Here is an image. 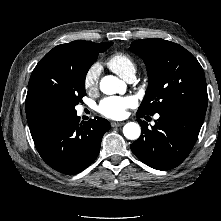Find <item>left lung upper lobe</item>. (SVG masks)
Wrapping results in <instances>:
<instances>
[{"label":"left lung upper lobe","mask_w":221,"mask_h":221,"mask_svg":"<svg viewBox=\"0 0 221 221\" xmlns=\"http://www.w3.org/2000/svg\"><path fill=\"white\" fill-rule=\"evenodd\" d=\"M129 50L144 60L148 71L149 85L138 113L154 115L176 106L206 110L204 72L189 51L159 38L136 40Z\"/></svg>","instance_id":"1"}]
</instances>
